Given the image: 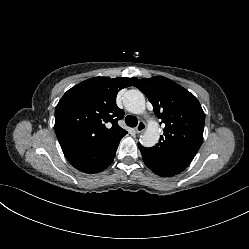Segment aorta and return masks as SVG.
I'll return each instance as SVG.
<instances>
[{
	"instance_id": "762f6f07",
	"label": "aorta",
	"mask_w": 249,
	"mask_h": 249,
	"mask_svg": "<svg viewBox=\"0 0 249 249\" xmlns=\"http://www.w3.org/2000/svg\"><path fill=\"white\" fill-rule=\"evenodd\" d=\"M126 109L133 114H142L145 111V97L139 90H129L123 99ZM160 137L157 122L151 121L144 134L141 136V143L145 147L154 146Z\"/></svg>"
}]
</instances>
